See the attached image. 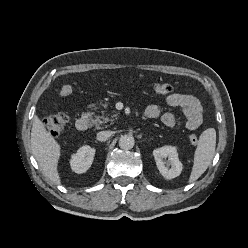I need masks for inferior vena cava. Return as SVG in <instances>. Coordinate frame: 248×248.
Wrapping results in <instances>:
<instances>
[{
    "mask_svg": "<svg viewBox=\"0 0 248 248\" xmlns=\"http://www.w3.org/2000/svg\"><path fill=\"white\" fill-rule=\"evenodd\" d=\"M111 132L110 131H101L97 134V140L98 141H106L109 139V137L111 136Z\"/></svg>",
    "mask_w": 248,
    "mask_h": 248,
    "instance_id": "602c4592",
    "label": "inferior vena cava"
}]
</instances>
